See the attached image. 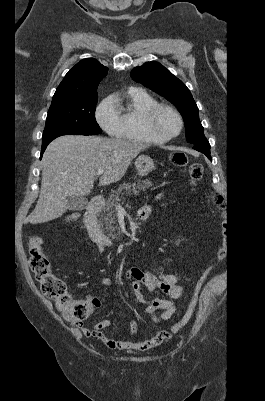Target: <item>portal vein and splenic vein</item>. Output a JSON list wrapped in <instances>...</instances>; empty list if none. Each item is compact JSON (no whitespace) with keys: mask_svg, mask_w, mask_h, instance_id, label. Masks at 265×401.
Here are the masks:
<instances>
[{"mask_svg":"<svg viewBox=\"0 0 265 401\" xmlns=\"http://www.w3.org/2000/svg\"><path fill=\"white\" fill-rule=\"evenodd\" d=\"M104 172V168H99V170H97V174H103ZM118 209H123V207H118Z\"/></svg>","mask_w":265,"mask_h":401,"instance_id":"18ae733b","label":"portal vein and splenic vein"}]
</instances>
